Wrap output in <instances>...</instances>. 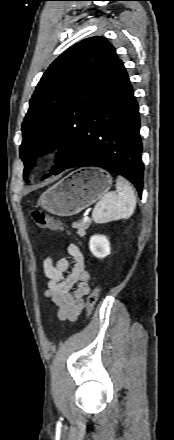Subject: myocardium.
Returning <instances> with one entry per match:
<instances>
[{
  "label": "myocardium",
  "instance_id": "f54148a6",
  "mask_svg": "<svg viewBox=\"0 0 174 440\" xmlns=\"http://www.w3.org/2000/svg\"><path fill=\"white\" fill-rule=\"evenodd\" d=\"M60 153V147L58 145H51L47 151L46 155L50 158L56 157Z\"/></svg>",
  "mask_w": 174,
  "mask_h": 440
}]
</instances>
